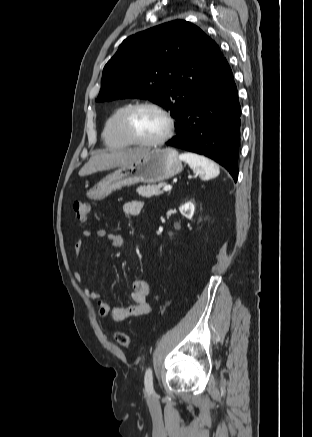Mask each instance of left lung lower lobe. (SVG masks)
Masks as SVG:
<instances>
[{
	"mask_svg": "<svg viewBox=\"0 0 312 437\" xmlns=\"http://www.w3.org/2000/svg\"><path fill=\"white\" fill-rule=\"evenodd\" d=\"M241 108L232 71L224 58L216 74L189 103L166 144L202 154L238 177Z\"/></svg>",
	"mask_w": 312,
	"mask_h": 437,
	"instance_id": "left-lung-lower-lobe-1",
	"label": "left lung lower lobe"
}]
</instances>
